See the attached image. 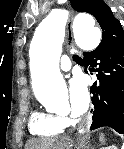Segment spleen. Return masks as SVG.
<instances>
[{"label": "spleen", "instance_id": "spleen-1", "mask_svg": "<svg viewBox=\"0 0 124 149\" xmlns=\"http://www.w3.org/2000/svg\"><path fill=\"white\" fill-rule=\"evenodd\" d=\"M100 141L103 142L104 141V136L101 134L100 136Z\"/></svg>", "mask_w": 124, "mask_h": 149}]
</instances>
